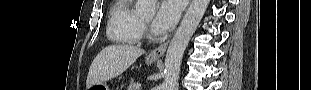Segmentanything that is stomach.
<instances>
[{
    "mask_svg": "<svg viewBox=\"0 0 311 90\" xmlns=\"http://www.w3.org/2000/svg\"><path fill=\"white\" fill-rule=\"evenodd\" d=\"M157 61V59L154 58H146L147 64H152L153 62ZM89 90H110L109 86L106 84V82L101 84L93 85L89 88Z\"/></svg>",
    "mask_w": 311,
    "mask_h": 90,
    "instance_id": "1",
    "label": "stomach"
}]
</instances>
